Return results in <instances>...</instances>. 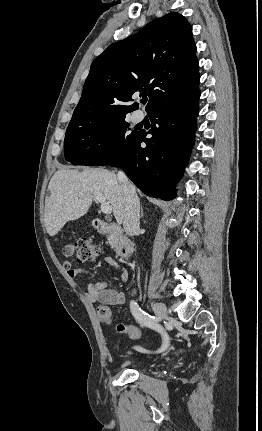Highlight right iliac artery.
<instances>
[{
	"mask_svg": "<svg viewBox=\"0 0 262 431\" xmlns=\"http://www.w3.org/2000/svg\"><path fill=\"white\" fill-rule=\"evenodd\" d=\"M130 310L139 324L155 330H159L156 318L143 311L136 302H130ZM159 332L163 337V344L162 347L157 350V353L165 351L169 344V341L167 340V333L164 330H159ZM135 349L144 351L141 347H135Z\"/></svg>",
	"mask_w": 262,
	"mask_h": 431,
	"instance_id": "right-iliac-artery-1",
	"label": "right iliac artery"
}]
</instances>
